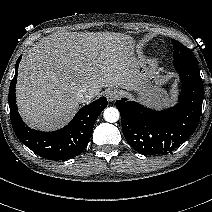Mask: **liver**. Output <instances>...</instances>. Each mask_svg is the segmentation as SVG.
Listing matches in <instances>:
<instances>
[{
    "label": "liver",
    "mask_w": 212,
    "mask_h": 212,
    "mask_svg": "<svg viewBox=\"0 0 212 212\" xmlns=\"http://www.w3.org/2000/svg\"><path fill=\"white\" fill-rule=\"evenodd\" d=\"M130 36L109 32H65L42 38L19 66L17 105L30 127L55 130L79 108L80 89L99 95L103 87L129 90L134 59Z\"/></svg>",
    "instance_id": "obj_1"
}]
</instances>
